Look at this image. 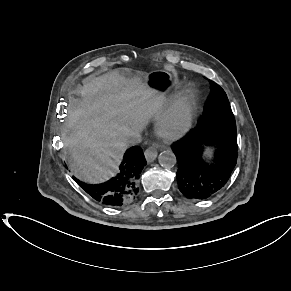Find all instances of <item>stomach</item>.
<instances>
[{
	"label": "stomach",
	"instance_id": "1",
	"mask_svg": "<svg viewBox=\"0 0 291 291\" xmlns=\"http://www.w3.org/2000/svg\"><path fill=\"white\" fill-rule=\"evenodd\" d=\"M121 74L127 77L132 72L127 67H124L121 70ZM144 82L149 88L157 92L167 93L175 87V74L165 70H155L144 77Z\"/></svg>",
	"mask_w": 291,
	"mask_h": 291
}]
</instances>
